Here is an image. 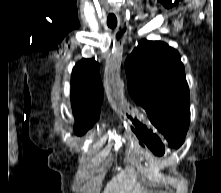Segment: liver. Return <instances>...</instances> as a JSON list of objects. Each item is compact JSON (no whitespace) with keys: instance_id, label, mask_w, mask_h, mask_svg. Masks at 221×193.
Listing matches in <instances>:
<instances>
[{"instance_id":"liver-1","label":"liver","mask_w":221,"mask_h":193,"mask_svg":"<svg viewBox=\"0 0 221 193\" xmlns=\"http://www.w3.org/2000/svg\"><path fill=\"white\" fill-rule=\"evenodd\" d=\"M125 173L122 172L114 177L106 186L104 193H129L130 186H125Z\"/></svg>"}]
</instances>
